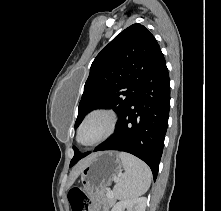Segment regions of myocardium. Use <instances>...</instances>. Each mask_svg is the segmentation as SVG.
I'll list each match as a JSON object with an SVG mask.
<instances>
[{
    "mask_svg": "<svg viewBox=\"0 0 221 211\" xmlns=\"http://www.w3.org/2000/svg\"><path fill=\"white\" fill-rule=\"evenodd\" d=\"M96 117H101L105 120L106 126L104 129V132L101 134V136L99 138H97L93 142L83 143L80 138L81 132H82L84 126L90 120H92L93 118H96ZM116 125H117V116L112 110L107 109V108L93 109L84 116L81 123L79 124L78 129H77V133H76V140L80 145L85 146V147L96 146V145L104 142L105 140H107L114 133V131L116 129Z\"/></svg>",
    "mask_w": 221,
    "mask_h": 211,
    "instance_id": "f54148a6",
    "label": "myocardium"
}]
</instances>
